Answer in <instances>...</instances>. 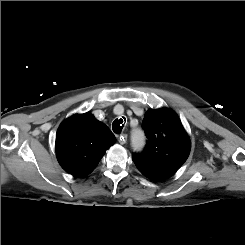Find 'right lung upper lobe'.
Returning <instances> with one entry per match:
<instances>
[{
	"mask_svg": "<svg viewBox=\"0 0 245 245\" xmlns=\"http://www.w3.org/2000/svg\"><path fill=\"white\" fill-rule=\"evenodd\" d=\"M116 142L110 129L92 114L73 115L59 126L56 155L61 167L75 177L91 173Z\"/></svg>",
	"mask_w": 245,
	"mask_h": 245,
	"instance_id": "1",
	"label": "right lung upper lobe"
}]
</instances>
